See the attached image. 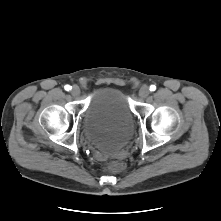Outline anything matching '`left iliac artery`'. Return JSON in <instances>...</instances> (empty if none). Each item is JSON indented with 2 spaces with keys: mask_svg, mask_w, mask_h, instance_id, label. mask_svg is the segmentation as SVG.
<instances>
[{
  "mask_svg": "<svg viewBox=\"0 0 221 221\" xmlns=\"http://www.w3.org/2000/svg\"><path fill=\"white\" fill-rule=\"evenodd\" d=\"M156 90V86L155 85H151L150 86V91H155Z\"/></svg>",
  "mask_w": 221,
  "mask_h": 221,
  "instance_id": "obj_1",
  "label": "left iliac artery"
}]
</instances>
